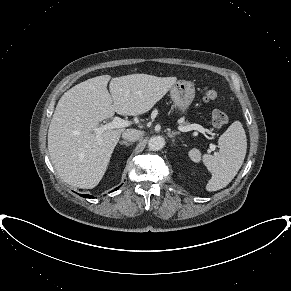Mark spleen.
<instances>
[{
    "mask_svg": "<svg viewBox=\"0 0 291 291\" xmlns=\"http://www.w3.org/2000/svg\"><path fill=\"white\" fill-rule=\"evenodd\" d=\"M218 144L220 150L214 155L201 156L196 148L188 153L194 162L202 159L211 172L212 177L206 185L207 191H217L226 187L241 168L247 151V139L242 124L239 121L233 122L219 137Z\"/></svg>",
    "mask_w": 291,
    "mask_h": 291,
    "instance_id": "spleen-1",
    "label": "spleen"
}]
</instances>
